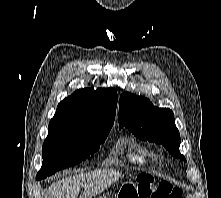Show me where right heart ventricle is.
Wrapping results in <instances>:
<instances>
[{"mask_svg":"<svg viewBox=\"0 0 221 198\" xmlns=\"http://www.w3.org/2000/svg\"><path fill=\"white\" fill-rule=\"evenodd\" d=\"M126 156L129 162L136 165H146L151 161V152L135 141L127 144Z\"/></svg>","mask_w":221,"mask_h":198,"instance_id":"e07e8e85","label":"right heart ventricle"}]
</instances>
